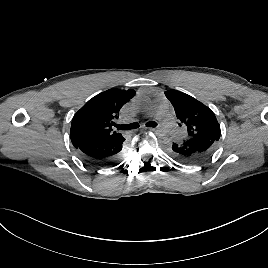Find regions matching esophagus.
Wrapping results in <instances>:
<instances>
[{
  "instance_id": "obj_1",
  "label": "esophagus",
  "mask_w": 268,
  "mask_h": 268,
  "mask_svg": "<svg viewBox=\"0 0 268 268\" xmlns=\"http://www.w3.org/2000/svg\"><path fill=\"white\" fill-rule=\"evenodd\" d=\"M146 129H149V130H151V131H155V130H156V128H153V127H148V128H146Z\"/></svg>"
}]
</instances>
